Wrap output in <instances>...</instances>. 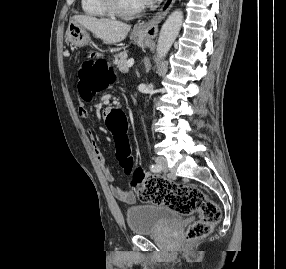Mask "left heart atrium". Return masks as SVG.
Listing matches in <instances>:
<instances>
[{
    "label": "left heart atrium",
    "mask_w": 286,
    "mask_h": 269,
    "mask_svg": "<svg viewBox=\"0 0 286 269\" xmlns=\"http://www.w3.org/2000/svg\"><path fill=\"white\" fill-rule=\"evenodd\" d=\"M159 0H141L143 5H151Z\"/></svg>",
    "instance_id": "obj_1"
}]
</instances>
